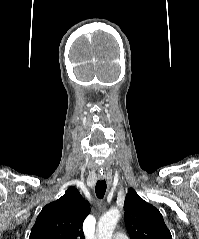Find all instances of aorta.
<instances>
[{
	"mask_svg": "<svg viewBox=\"0 0 199 239\" xmlns=\"http://www.w3.org/2000/svg\"><path fill=\"white\" fill-rule=\"evenodd\" d=\"M120 216V211L117 208H112L100 218L96 230L98 239H112L113 231Z\"/></svg>",
	"mask_w": 199,
	"mask_h": 239,
	"instance_id": "obj_1",
	"label": "aorta"
}]
</instances>
